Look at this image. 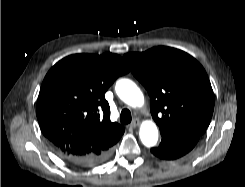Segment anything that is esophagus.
Returning a JSON list of instances; mask_svg holds the SVG:
<instances>
[{"label": "esophagus", "mask_w": 245, "mask_h": 187, "mask_svg": "<svg viewBox=\"0 0 245 187\" xmlns=\"http://www.w3.org/2000/svg\"><path fill=\"white\" fill-rule=\"evenodd\" d=\"M140 125V120L139 119H134L131 123H130V127L131 128H136Z\"/></svg>", "instance_id": "esophagus-1"}]
</instances>
